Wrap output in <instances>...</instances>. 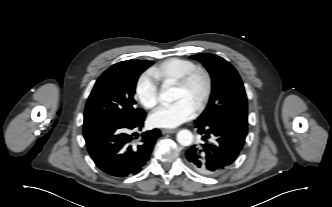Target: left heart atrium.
I'll use <instances>...</instances> for the list:
<instances>
[{"mask_svg":"<svg viewBox=\"0 0 332 207\" xmlns=\"http://www.w3.org/2000/svg\"><path fill=\"white\" fill-rule=\"evenodd\" d=\"M196 114V108L185 99H180L168 105L158 107L151 115L150 122L159 128H176L191 120Z\"/></svg>","mask_w":332,"mask_h":207,"instance_id":"left-heart-atrium-1","label":"left heart atrium"}]
</instances>
